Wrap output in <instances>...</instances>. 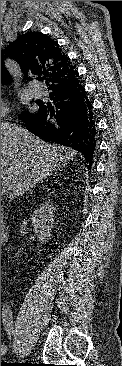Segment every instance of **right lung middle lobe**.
Here are the masks:
<instances>
[{
	"mask_svg": "<svg viewBox=\"0 0 122 366\" xmlns=\"http://www.w3.org/2000/svg\"><path fill=\"white\" fill-rule=\"evenodd\" d=\"M29 114H31V113H29V112H25V113H24V115H29Z\"/></svg>",
	"mask_w": 122,
	"mask_h": 366,
	"instance_id": "1",
	"label": "right lung middle lobe"
}]
</instances>
